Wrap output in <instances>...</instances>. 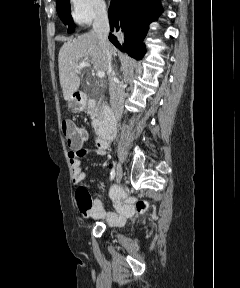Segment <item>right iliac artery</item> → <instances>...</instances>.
<instances>
[{
	"mask_svg": "<svg viewBox=\"0 0 240 288\" xmlns=\"http://www.w3.org/2000/svg\"><path fill=\"white\" fill-rule=\"evenodd\" d=\"M114 177H115V170L112 169V170H111V173H110V180H113Z\"/></svg>",
	"mask_w": 240,
	"mask_h": 288,
	"instance_id": "obj_1",
	"label": "right iliac artery"
}]
</instances>
